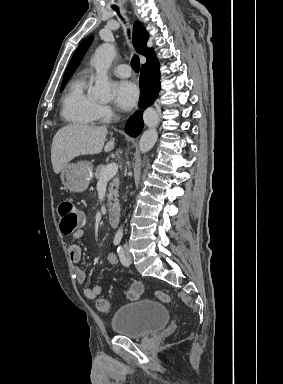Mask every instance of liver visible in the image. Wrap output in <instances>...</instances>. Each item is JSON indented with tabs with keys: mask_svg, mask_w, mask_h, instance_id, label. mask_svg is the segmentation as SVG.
Returning a JSON list of instances; mask_svg holds the SVG:
<instances>
[{
	"mask_svg": "<svg viewBox=\"0 0 283 384\" xmlns=\"http://www.w3.org/2000/svg\"><path fill=\"white\" fill-rule=\"evenodd\" d=\"M108 132L105 126H87V124H69L55 134L51 148V162L55 174L64 170L66 164L77 156H93L104 152H111L115 148V140L111 138L104 146Z\"/></svg>",
	"mask_w": 283,
	"mask_h": 384,
	"instance_id": "obj_1",
	"label": "liver"
}]
</instances>
